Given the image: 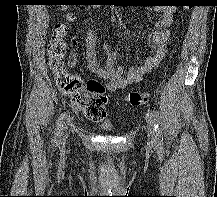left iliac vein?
Listing matches in <instances>:
<instances>
[{
	"mask_svg": "<svg viewBox=\"0 0 217 197\" xmlns=\"http://www.w3.org/2000/svg\"><path fill=\"white\" fill-rule=\"evenodd\" d=\"M146 123H147L148 141L153 144L155 142L156 137H155L153 123L149 117H146Z\"/></svg>",
	"mask_w": 217,
	"mask_h": 197,
	"instance_id": "4c4485c4",
	"label": "left iliac vein"
}]
</instances>
